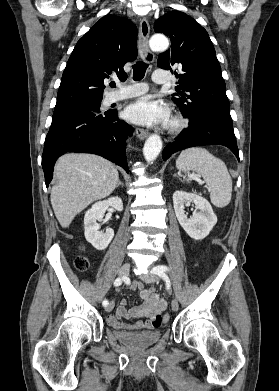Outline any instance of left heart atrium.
<instances>
[{"mask_svg":"<svg viewBox=\"0 0 279 391\" xmlns=\"http://www.w3.org/2000/svg\"><path fill=\"white\" fill-rule=\"evenodd\" d=\"M126 117L137 124L156 126L166 125L170 119L168 107L160 101L145 96L137 99L126 109Z\"/></svg>","mask_w":279,"mask_h":391,"instance_id":"obj_1","label":"left heart atrium"}]
</instances>
